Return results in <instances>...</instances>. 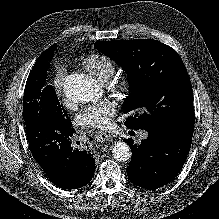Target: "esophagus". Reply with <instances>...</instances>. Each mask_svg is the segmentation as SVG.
<instances>
[{
  "mask_svg": "<svg viewBox=\"0 0 219 219\" xmlns=\"http://www.w3.org/2000/svg\"><path fill=\"white\" fill-rule=\"evenodd\" d=\"M96 137L100 140V141H110L112 140V136L106 132L103 131H98L96 133Z\"/></svg>",
  "mask_w": 219,
  "mask_h": 219,
  "instance_id": "1",
  "label": "esophagus"
}]
</instances>
